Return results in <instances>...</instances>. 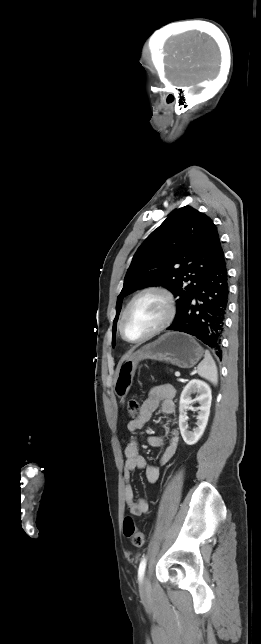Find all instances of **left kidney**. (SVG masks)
Returning <instances> with one entry per match:
<instances>
[{
  "label": "left kidney",
  "mask_w": 261,
  "mask_h": 644,
  "mask_svg": "<svg viewBox=\"0 0 261 644\" xmlns=\"http://www.w3.org/2000/svg\"><path fill=\"white\" fill-rule=\"evenodd\" d=\"M196 392L199 396H197L194 401H198L200 404L197 408V410H199L196 422L197 427L194 428L193 431H189L185 411L189 404L192 403L190 395ZM211 400V388L204 381L193 379L184 387L179 402V428L181 436L186 444L193 445L197 443L203 435L210 414Z\"/></svg>",
  "instance_id": "5707ae66"
}]
</instances>
